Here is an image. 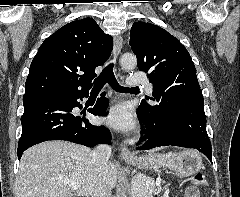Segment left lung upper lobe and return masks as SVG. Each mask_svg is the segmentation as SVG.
Wrapping results in <instances>:
<instances>
[{
    "label": "left lung upper lobe",
    "mask_w": 240,
    "mask_h": 197,
    "mask_svg": "<svg viewBox=\"0 0 240 197\" xmlns=\"http://www.w3.org/2000/svg\"><path fill=\"white\" fill-rule=\"evenodd\" d=\"M129 44L139 69L148 73L153 84L152 100L166 104L185 92L203 97L190 54L166 30L151 23L135 22ZM140 106L152 107L145 101Z\"/></svg>",
    "instance_id": "left-lung-upper-lobe-1"
}]
</instances>
